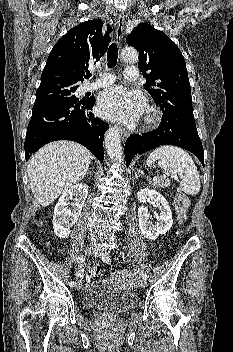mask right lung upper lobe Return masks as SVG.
Here are the masks:
<instances>
[{
	"label": "right lung upper lobe",
	"mask_w": 233,
	"mask_h": 352,
	"mask_svg": "<svg viewBox=\"0 0 233 352\" xmlns=\"http://www.w3.org/2000/svg\"><path fill=\"white\" fill-rule=\"evenodd\" d=\"M103 22L88 20L68 31L51 50L41 75L40 87L48 85L78 86L83 82L89 63L99 61L111 41L108 25L102 35Z\"/></svg>",
	"instance_id": "obj_1"
}]
</instances>
